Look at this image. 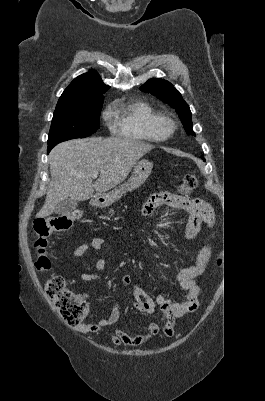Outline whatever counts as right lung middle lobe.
I'll use <instances>...</instances> for the list:
<instances>
[{
	"label": "right lung middle lobe",
	"instance_id": "1",
	"mask_svg": "<svg viewBox=\"0 0 265 401\" xmlns=\"http://www.w3.org/2000/svg\"><path fill=\"white\" fill-rule=\"evenodd\" d=\"M103 98L75 101L56 106L54 111L48 147L53 148L62 141L85 138L99 128Z\"/></svg>",
	"mask_w": 265,
	"mask_h": 401
}]
</instances>
